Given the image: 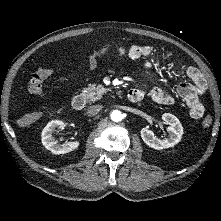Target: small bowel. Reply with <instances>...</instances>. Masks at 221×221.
<instances>
[{
  "instance_id": "obj_1",
  "label": "small bowel",
  "mask_w": 221,
  "mask_h": 221,
  "mask_svg": "<svg viewBox=\"0 0 221 221\" xmlns=\"http://www.w3.org/2000/svg\"><path fill=\"white\" fill-rule=\"evenodd\" d=\"M115 53L120 58L129 59H141L144 58V66L147 70L153 66V56L155 50L151 46L132 45L128 48L117 45H105L101 49L92 52L86 57L84 64L88 71H92L97 67L98 59L109 54ZM171 54L166 52V57H170ZM186 76L188 82L181 83L177 88V94L180 99L186 105L191 118L198 120L203 117L205 108L201 101V96L207 89V83L201 74V72L195 67H188L186 69ZM139 95L141 100L145 95H148L153 101L163 105L174 104V98L166 91L159 88H151L149 90L144 89H132Z\"/></svg>"
}]
</instances>
